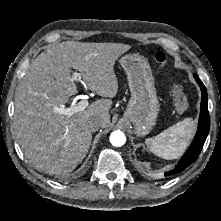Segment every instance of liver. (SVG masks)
Returning <instances> with one entry per match:
<instances>
[{"label": "liver", "mask_w": 221, "mask_h": 221, "mask_svg": "<svg viewBox=\"0 0 221 221\" xmlns=\"http://www.w3.org/2000/svg\"><path fill=\"white\" fill-rule=\"evenodd\" d=\"M131 48L121 43L66 41L42 52L30 65L15 92L14 129L25 156L48 173L72 172L88 153L89 119L110 125L112 100L101 99L68 117L56 113L78 93L71 68L81 71L83 84L102 97L118 91L115 61Z\"/></svg>", "instance_id": "6515ba94"}]
</instances>
